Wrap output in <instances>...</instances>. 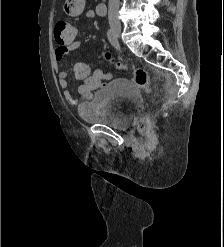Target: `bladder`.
Returning <instances> with one entry per match:
<instances>
[{"mask_svg": "<svg viewBox=\"0 0 224 247\" xmlns=\"http://www.w3.org/2000/svg\"><path fill=\"white\" fill-rule=\"evenodd\" d=\"M138 103L135 85L129 79L116 78L81 102L77 113L86 123L127 130L133 124Z\"/></svg>", "mask_w": 224, "mask_h": 247, "instance_id": "bladder-1", "label": "bladder"}]
</instances>
